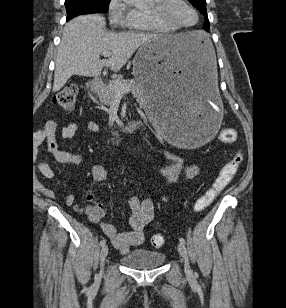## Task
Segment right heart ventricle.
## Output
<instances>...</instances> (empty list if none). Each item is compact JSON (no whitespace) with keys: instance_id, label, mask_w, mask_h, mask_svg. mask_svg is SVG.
I'll use <instances>...</instances> for the list:
<instances>
[{"instance_id":"right-heart-ventricle-1","label":"right heart ventricle","mask_w":286,"mask_h":308,"mask_svg":"<svg viewBox=\"0 0 286 308\" xmlns=\"http://www.w3.org/2000/svg\"><path fill=\"white\" fill-rule=\"evenodd\" d=\"M154 3L158 0H153ZM130 30L142 33H173L178 29L156 19L149 10L133 9Z\"/></svg>"}]
</instances>
